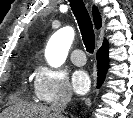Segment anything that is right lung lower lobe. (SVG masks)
Segmentation results:
<instances>
[{
    "label": "right lung lower lobe",
    "mask_w": 133,
    "mask_h": 118,
    "mask_svg": "<svg viewBox=\"0 0 133 118\" xmlns=\"http://www.w3.org/2000/svg\"><path fill=\"white\" fill-rule=\"evenodd\" d=\"M97 63H98L97 88H99L102 85L108 70V43L107 42H104L102 47L97 52Z\"/></svg>",
    "instance_id": "1"
}]
</instances>
